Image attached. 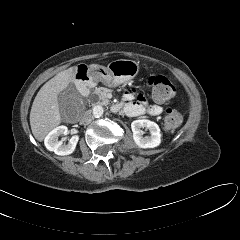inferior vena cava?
<instances>
[{"label": "inferior vena cava", "instance_id": "inferior-vena-cava-1", "mask_svg": "<svg viewBox=\"0 0 240 240\" xmlns=\"http://www.w3.org/2000/svg\"><path fill=\"white\" fill-rule=\"evenodd\" d=\"M94 116L90 110L86 111L81 119L84 125L89 124L93 120Z\"/></svg>", "mask_w": 240, "mask_h": 240}]
</instances>
